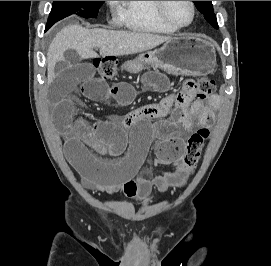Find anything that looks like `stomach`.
<instances>
[{
	"instance_id": "0dacf381",
	"label": "stomach",
	"mask_w": 271,
	"mask_h": 266,
	"mask_svg": "<svg viewBox=\"0 0 271 266\" xmlns=\"http://www.w3.org/2000/svg\"><path fill=\"white\" fill-rule=\"evenodd\" d=\"M149 65L173 75H207L216 67L215 47L203 37H174L161 48L142 53L124 66L129 72L139 73Z\"/></svg>"
}]
</instances>
